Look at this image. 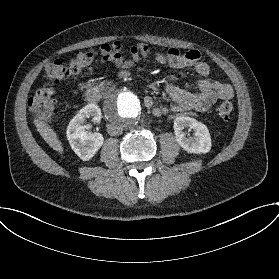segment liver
Returning <instances> with one entry per match:
<instances>
[{
	"label": "liver",
	"mask_w": 279,
	"mask_h": 279,
	"mask_svg": "<svg viewBox=\"0 0 279 279\" xmlns=\"http://www.w3.org/2000/svg\"><path fill=\"white\" fill-rule=\"evenodd\" d=\"M34 123L37 127L38 132L40 133L41 137L45 140V142L55 151L59 152L60 154L63 153L62 143L58 139L56 133L47 126L44 122L39 120H34Z\"/></svg>",
	"instance_id": "6515ba94"
}]
</instances>
